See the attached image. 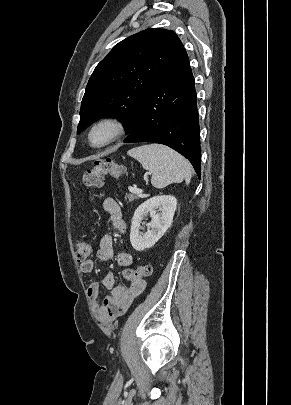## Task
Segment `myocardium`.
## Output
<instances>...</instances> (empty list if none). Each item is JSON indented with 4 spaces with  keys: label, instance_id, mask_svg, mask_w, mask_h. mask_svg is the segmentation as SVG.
Returning <instances> with one entry per match:
<instances>
[{
    "label": "myocardium",
    "instance_id": "obj_1",
    "mask_svg": "<svg viewBox=\"0 0 291 405\" xmlns=\"http://www.w3.org/2000/svg\"><path fill=\"white\" fill-rule=\"evenodd\" d=\"M100 128L107 129V138L101 143H94L92 136L94 132ZM125 131L126 125L121 118L117 116H104L99 118L91 125L87 134V140L89 145L93 148H104L117 141L125 133Z\"/></svg>",
    "mask_w": 291,
    "mask_h": 405
}]
</instances>
